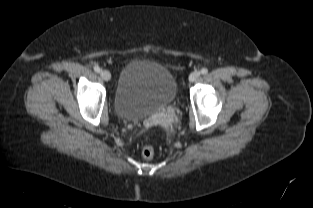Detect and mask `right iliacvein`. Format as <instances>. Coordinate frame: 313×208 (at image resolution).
Here are the masks:
<instances>
[{
	"instance_id": "63e3f726",
	"label": "right iliac vein",
	"mask_w": 313,
	"mask_h": 208,
	"mask_svg": "<svg viewBox=\"0 0 313 208\" xmlns=\"http://www.w3.org/2000/svg\"><path fill=\"white\" fill-rule=\"evenodd\" d=\"M100 75H101L102 79L105 81H109L111 79V74L108 70H102L100 72Z\"/></svg>"
}]
</instances>
